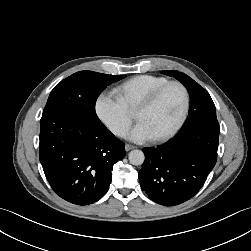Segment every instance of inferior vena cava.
<instances>
[{"instance_id": "inferior-vena-cava-1", "label": "inferior vena cava", "mask_w": 251, "mask_h": 251, "mask_svg": "<svg viewBox=\"0 0 251 251\" xmlns=\"http://www.w3.org/2000/svg\"><path fill=\"white\" fill-rule=\"evenodd\" d=\"M125 133H126V131L123 130V129H120V130L117 131L118 135H124Z\"/></svg>"}]
</instances>
